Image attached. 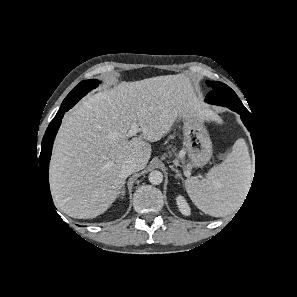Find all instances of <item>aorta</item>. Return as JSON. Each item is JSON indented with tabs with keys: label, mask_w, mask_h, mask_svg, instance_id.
Listing matches in <instances>:
<instances>
[{
	"label": "aorta",
	"mask_w": 297,
	"mask_h": 297,
	"mask_svg": "<svg viewBox=\"0 0 297 297\" xmlns=\"http://www.w3.org/2000/svg\"><path fill=\"white\" fill-rule=\"evenodd\" d=\"M162 181H163V174L160 171L155 170L149 174V182L151 184L159 185L162 183Z\"/></svg>",
	"instance_id": "762f6f07"
}]
</instances>
